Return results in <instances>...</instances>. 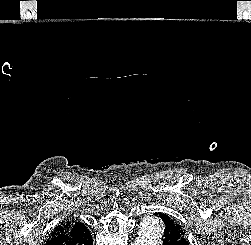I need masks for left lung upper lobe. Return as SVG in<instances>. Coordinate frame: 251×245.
<instances>
[{"mask_svg":"<svg viewBox=\"0 0 251 245\" xmlns=\"http://www.w3.org/2000/svg\"><path fill=\"white\" fill-rule=\"evenodd\" d=\"M167 221L162 218V221L164 222L165 225H167V222H169L170 224H172L174 227H176L179 232H181L182 236L185 237V232L183 231L182 227L172 218H170L169 216H167Z\"/></svg>","mask_w":251,"mask_h":245,"instance_id":"obj_1","label":"left lung upper lobe"}]
</instances>
